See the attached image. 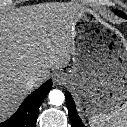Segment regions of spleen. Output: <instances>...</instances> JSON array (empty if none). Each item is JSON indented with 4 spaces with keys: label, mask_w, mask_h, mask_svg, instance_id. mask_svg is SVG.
Listing matches in <instances>:
<instances>
[{
    "label": "spleen",
    "mask_w": 127,
    "mask_h": 127,
    "mask_svg": "<svg viewBox=\"0 0 127 127\" xmlns=\"http://www.w3.org/2000/svg\"><path fill=\"white\" fill-rule=\"evenodd\" d=\"M89 124L90 127H127V101L109 113L92 115Z\"/></svg>",
    "instance_id": "3e777b00"
}]
</instances>
